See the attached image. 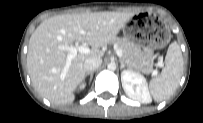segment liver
<instances>
[{"instance_id": "obj_1", "label": "liver", "mask_w": 203, "mask_h": 123, "mask_svg": "<svg viewBox=\"0 0 203 123\" xmlns=\"http://www.w3.org/2000/svg\"><path fill=\"white\" fill-rule=\"evenodd\" d=\"M134 15L135 12H95L44 20L31 35L27 53V70L37 93L55 105L73 102L74 91L86 76L84 61L101 58V48L115 40ZM73 43L90 45L91 50L77 54L66 68L69 52L59 47Z\"/></svg>"}]
</instances>
